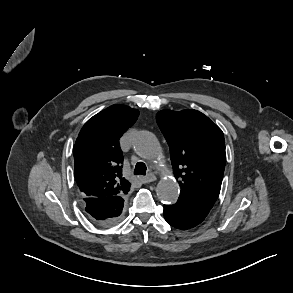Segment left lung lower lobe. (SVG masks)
Instances as JSON below:
<instances>
[{
    "instance_id": "left-lung-lower-lobe-1",
    "label": "left lung lower lobe",
    "mask_w": 293,
    "mask_h": 293,
    "mask_svg": "<svg viewBox=\"0 0 293 293\" xmlns=\"http://www.w3.org/2000/svg\"><path fill=\"white\" fill-rule=\"evenodd\" d=\"M209 212L180 199L173 205H164V218L173 227L186 230L200 224Z\"/></svg>"
}]
</instances>
